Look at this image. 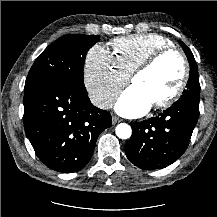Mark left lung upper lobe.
<instances>
[{
    "instance_id": "obj_1",
    "label": "left lung upper lobe",
    "mask_w": 217,
    "mask_h": 217,
    "mask_svg": "<svg viewBox=\"0 0 217 217\" xmlns=\"http://www.w3.org/2000/svg\"><path fill=\"white\" fill-rule=\"evenodd\" d=\"M180 44L190 63L189 80L186 85L187 88L183 91V95L181 96V98H188V99L199 101L200 84H199L198 69H197V64L195 62V58L191 50L182 41H180Z\"/></svg>"
}]
</instances>
